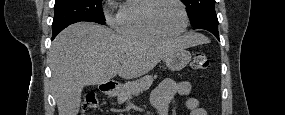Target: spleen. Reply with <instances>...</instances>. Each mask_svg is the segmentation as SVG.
Returning <instances> with one entry per match:
<instances>
[{
  "mask_svg": "<svg viewBox=\"0 0 285 115\" xmlns=\"http://www.w3.org/2000/svg\"><path fill=\"white\" fill-rule=\"evenodd\" d=\"M200 37H201V39H202V41L203 42H205L207 39L204 37V36H202V35H200Z\"/></svg>",
  "mask_w": 285,
  "mask_h": 115,
  "instance_id": "obj_1",
  "label": "spleen"
}]
</instances>
